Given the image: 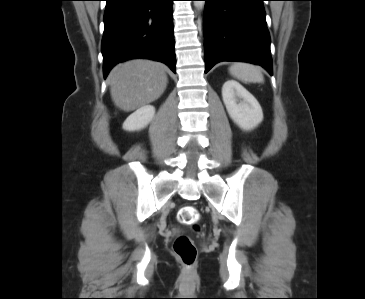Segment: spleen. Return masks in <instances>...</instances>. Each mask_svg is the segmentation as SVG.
I'll use <instances>...</instances> for the list:
<instances>
[{"mask_svg": "<svg viewBox=\"0 0 365 299\" xmlns=\"http://www.w3.org/2000/svg\"><path fill=\"white\" fill-rule=\"evenodd\" d=\"M229 71L231 75L244 83H260L263 82V75L260 71L248 63H234Z\"/></svg>", "mask_w": 365, "mask_h": 299, "instance_id": "1", "label": "spleen"}]
</instances>
